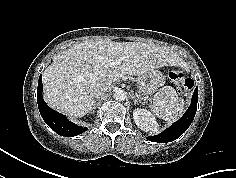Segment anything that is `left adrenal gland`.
Here are the masks:
<instances>
[{
    "instance_id": "a2214340",
    "label": "left adrenal gland",
    "mask_w": 236,
    "mask_h": 178,
    "mask_svg": "<svg viewBox=\"0 0 236 178\" xmlns=\"http://www.w3.org/2000/svg\"><path fill=\"white\" fill-rule=\"evenodd\" d=\"M132 99H133L135 105H136L138 102L141 103V100H138L134 95H132Z\"/></svg>"
}]
</instances>
